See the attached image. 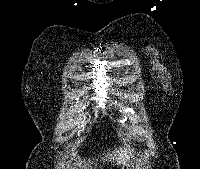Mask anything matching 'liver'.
<instances>
[{"instance_id": "6515ba94", "label": "liver", "mask_w": 200, "mask_h": 169, "mask_svg": "<svg viewBox=\"0 0 200 169\" xmlns=\"http://www.w3.org/2000/svg\"><path fill=\"white\" fill-rule=\"evenodd\" d=\"M104 155V154H103ZM133 157V150L129 148L128 146L126 147H119L118 149L115 148L113 152L109 150V152L104 155V157L101 158L103 162L109 161L115 164V165H125L127 162L131 160ZM79 163L77 162V165L81 167V164H83V169H92L91 164H93V161L88 160V162L81 161V159L78 157ZM81 161V162H80ZM98 161V159H96ZM97 167V163H95V168Z\"/></svg>"}]
</instances>
